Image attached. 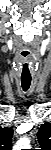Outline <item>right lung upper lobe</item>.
Segmentation results:
<instances>
[{
	"label": "right lung upper lobe",
	"instance_id": "cb5924a9",
	"mask_svg": "<svg viewBox=\"0 0 51 150\" xmlns=\"http://www.w3.org/2000/svg\"><path fill=\"white\" fill-rule=\"evenodd\" d=\"M12 135L13 130L8 127L0 128V150L12 149Z\"/></svg>",
	"mask_w": 51,
	"mask_h": 150
}]
</instances>
